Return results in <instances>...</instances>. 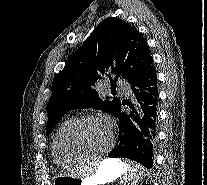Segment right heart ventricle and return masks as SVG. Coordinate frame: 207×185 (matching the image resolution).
I'll return each mask as SVG.
<instances>
[{"label":"right heart ventricle","mask_w":207,"mask_h":185,"mask_svg":"<svg viewBox=\"0 0 207 185\" xmlns=\"http://www.w3.org/2000/svg\"><path fill=\"white\" fill-rule=\"evenodd\" d=\"M72 121L73 118H68L65 121H63L59 126L58 130L56 131V134L53 139V144H52L53 156L56 162L61 166L76 165L87 159L83 157L72 156L67 151L64 145L65 132Z\"/></svg>","instance_id":"e07e8e85"}]
</instances>
